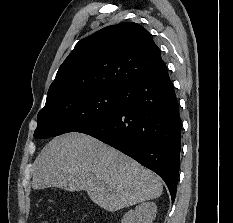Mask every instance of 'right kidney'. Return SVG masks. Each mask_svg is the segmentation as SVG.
<instances>
[{
	"instance_id": "ca27d5eb",
	"label": "right kidney",
	"mask_w": 233,
	"mask_h": 223,
	"mask_svg": "<svg viewBox=\"0 0 233 223\" xmlns=\"http://www.w3.org/2000/svg\"><path fill=\"white\" fill-rule=\"evenodd\" d=\"M157 205L154 201H143L135 209H129L121 219V223H153Z\"/></svg>"
}]
</instances>
